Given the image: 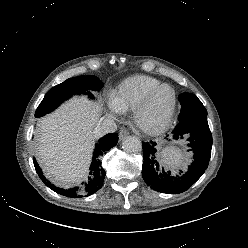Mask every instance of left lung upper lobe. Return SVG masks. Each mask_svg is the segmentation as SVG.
<instances>
[{
    "label": "left lung upper lobe",
    "mask_w": 248,
    "mask_h": 248,
    "mask_svg": "<svg viewBox=\"0 0 248 248\" xmlns=\"http://www.w3.org/2000/svg\"><path fill=\"white\" fill-rule=\"evenodd\" d=\"M178 100L181 103V112L179 118H195L201 115H207V110L202 102L192 93H182Z\"/></svg>",
    "instance_id": "left-lung-upper-lobe-1"
}]
</instances>
